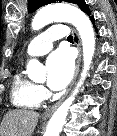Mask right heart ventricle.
Wrapping results in <instances>:
<instances>
[{"label": "right heart ventricle", "instance_id": "right-heart-ventricle-1", "mask_svg": "<svg viewBox=\"0 0 117 136\" xmlns=\"http://www.w3.org/2000/svg\"><path fill=\"white\" fill-rule=\"evenodd\" d=\"M11 99L18 108L33 109L40 106L43 96L39 86L18 72L12 81Z\"/></svg>", "mask_w": 117, "mask_h": 136}]
</instances>
